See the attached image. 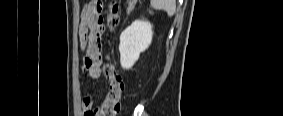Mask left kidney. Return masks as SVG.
Here are the masks:
<instances>
[{
  "label": "left kidney",
  "instance_id": "1",
  "mask_svg": "<svg viewBox=\"0 0 283 116\" xmlns=\"http://www.w3.org/2000/svg\"><path fill=\"white\" fill-rule=\"evenodd\" d=\"M153 37L152 25L147 21L136 20L120 35V64L123 69H131L151 44Z\"/></svg>",
  "mask_w": 283,
  "mask_h": 116
}]
</instances>
